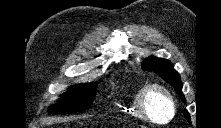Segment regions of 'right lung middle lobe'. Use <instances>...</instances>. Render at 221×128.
<instances>
[{
    "mask_svg": "<svg viewBox=\"0 0 221 128\" xmlns=\"http://www.w3.org/2000/svg\"><path fill=\"white\" fill-rule=\"evenodd\" d=\"M97 84H80L71 88L62 96V102L59 105L48 107L49 113L69 114L89 109L97 92Z\"/></svg>",
    "mask_w": 221,
    "mask_h": 128,
    "instance_id": "right-lung-middle-lobe-1",
    "label": "right lung middle lobe"
}]
</instances>
